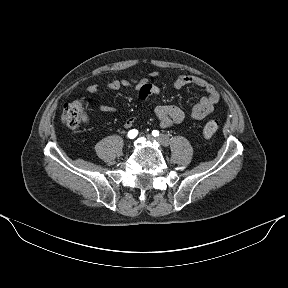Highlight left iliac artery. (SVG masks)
<instances>
[{
	"mask_svg": "<svg viewBox=\"0 0 288 288\" xmlns=\"http://www.w3.org/2000/svg\"><path fill=\"white\" fill-rule=\"evenodd\" d=\"M152 135H153L154 137L159 136V131H158V130H153V131H152Z\"/></svg>",
	"mask_w": 288,
	"mask_h": 288,
	"instance_id": "44dca946",
	"label": "left iliac artery"
}]
</instances>
